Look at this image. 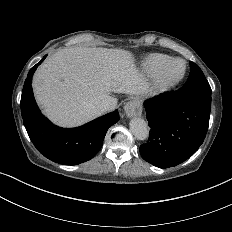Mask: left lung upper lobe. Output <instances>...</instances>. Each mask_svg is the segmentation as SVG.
<instances>
[{
  "label": "left lung upper lobe",
  "mask_w": 232,
  "mask_h": 232,
  "mask_svg": "<svg viewBox=\"0 0 232 232\" xmlns=\"http://www.w3.org/2000/svg\"><path fill=\"white\" fill-rule=\"evenodd\" d=\"M191 72L189 77L178 91V95L184 98L196 100L211 107V88L202 70L190 61Z\"/></svg>",
  "instance_id": "1"
}]
</instances>
